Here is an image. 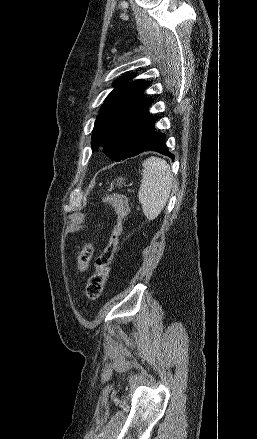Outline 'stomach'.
Wrapping results in <instances>:
<instances>
[{"instance_id": "obj_1", "label": "stomach", "mask_w": 257, "mask_h": 439, "mask_svg": "<svg viewBox=\"0 0 257 439\" xmlns=\"http://www.w3.org/2000/svg\"><path fill=\"white\" fill-rule=\"evenodd\" d=\"M122 184H124V179L122 177L118 178L117 180V185L121 186Z\"/></svg>"}]
</instances>
